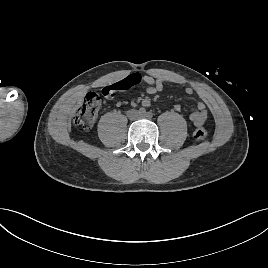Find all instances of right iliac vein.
I'll return each instance as SVG.
<instances>
[{
	"mask_svg": "<svg viewBox=\"0 0 268 268\" xmlns=\"http://www.w3.org/2000/svg\"><path fill=\"white\" fill-rule=\"evenodd\" d=\"M135 115H136V112H135V111H131V112H130V116H131V117H135Z\"/></svg>",
	"mask_w": 268,
	"mask_h": 268,
	"instance_id": "right-iliac-vein-1",
	"label": "right iliac vein"
}]
</instances>
